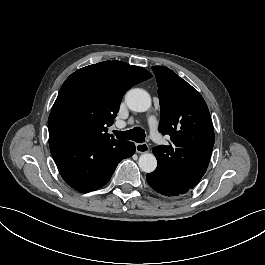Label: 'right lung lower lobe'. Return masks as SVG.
<instances>
[{"label": "right lung lower lobe", "mask_w": 265, "mask_h": 265, "mask_svg": "<svg viewBox=\"0 0 265 265\" xmlns=\"http://www.w3.org/2000/svg\"><path fill=\"white\" fill-rule=\"evenodd\" d=\"M49 146L64 181L82 193L105 185L118 163L135 152L133 142L64 134L49 135Z\"/></svg>", "instance_id": "1"}]
</instances>
